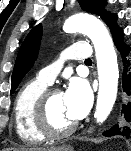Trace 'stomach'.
<instances>
[{"instance_id": "1", "label": "stomach", "mask_w": 131, "mask_h": 151, "mask_svg": "<svg viewBox=\"0 0 131 151\" xmlns=\"http://www.w3.org/2000/svg\"><path fill=\"white\" fill-rule=\"evenodd\" d=\"M57 151H73V148L70 146H63V147L58 148Z\"/></svg>"}]
</instances>
